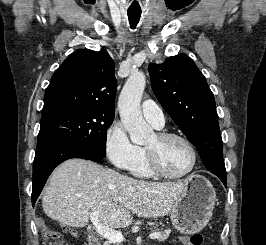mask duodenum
<instances>
[{
    "label": "duodenum",
    "instance_id": "410a0bca",
    "mask_svg": "<svg viewBox=\"0 0 266 245\" xmlns=\"http://www.w3.org/2000/svg\"><path fill=\"white\" fill-rule=\"evenodd\" d=\"M88 245H101V242L98 238V235L96 234H91L89 238Z\"/></svg>",
    "mask_w": 266,
    "mask_h": 245
}]
</instances>
